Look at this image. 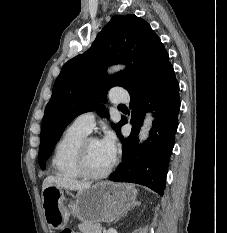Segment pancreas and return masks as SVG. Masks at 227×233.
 <instances>
[{
  "label": "pancreas",
  "instance_id": "pancreas-1",
  "mask_svg": "<svg viewBox=\"0 0 227 233\" xmlns=\"http://www.w3.org/2000/svg\"><path fill=\"white\" fill-rule=\"evenodd\" d=\"M82 233H101L102 227L98 223L83 222L78 225Z\"/></svg>",
  "mask_w": 227,
  "mask_h": 233
}]
</instances>
